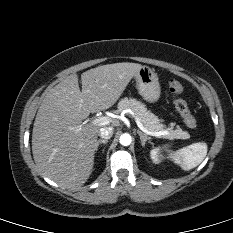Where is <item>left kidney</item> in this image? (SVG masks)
<instances>
[{
    "mask_svg": "<svg viewBox=\"0 0 233 233\" xmlns=\"http://www.w3.org/2000/svg\"><path fill=\"white\" fill-rule=\"evenodd\" d=\"M151 158L155 163H159V153H158V149H153L151 151Z\"/></svg>",
    "mask_w": 233,
    "mask_h": 233,
    "instance_id": "1",
    "label": "left kidney"
}]
</instances>
